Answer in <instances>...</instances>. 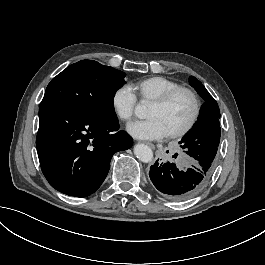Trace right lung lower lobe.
I'll list each match as a JSON object with an SVG mask.
<instances>
[{
  "mask_svg": "<svg viewBox=\"0 0 265 265\" xmlns=\"http://www.w3.org/2000/svg\"><path fill=\"white\" fill-rule=\"evenodd\" d=\"M118 129L117 120L41 103L36 147L50 185L75 197L94 193L107 176L113 154L133 144L132 138Z\"/></svg>",
  "mask_w": 265,
  "mask_h": 265,
  "instance_id": "obj_1",
  "label": "right lung lower lobe"
}]
</instances>
